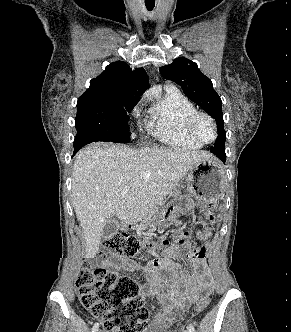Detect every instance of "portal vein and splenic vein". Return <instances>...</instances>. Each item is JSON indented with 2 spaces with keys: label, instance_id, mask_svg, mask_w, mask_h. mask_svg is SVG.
Masks as SVG:
<instances>
[{
  "label": "portal vein and splenic vein",
  "instance_id": "18ae733b",
  "mask_svg": "<svg viewBox=\"0 0 291 332\" xmlns=\"http://www.w3.org/2000/svg\"><path fill=\"white\" fill-rule=\"evenodd\" d=\"M128 188H129V185H126V186H125V190H128Z\"/></svg>",
  "mask_w": 291,
  "mask_h": 332
}]
</instances>
